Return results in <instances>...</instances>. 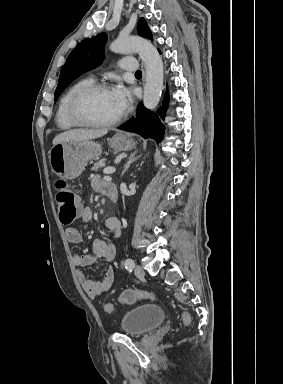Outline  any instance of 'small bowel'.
Segmentation results:
<instances>
[{
  "label": "small bowel",
  "instance_id": "c3829d8e",
  "mask_svg": "<svg viewBox=\"0 0 283 384\" xmlns=\"http://www.w3.org/2000/svg\"><path fill=\"white\" fill-rule=\"evenodd\" d=\"M107 182L98 176L91 180V187L100 193H104ZM93 213L90 207H82L80 209L81 227H68L65 230L66 238L69 243L78 244L82 241L81 229L83 225L92 220ZM105 228L112 232L115 238H118L122 232V225L118 218L110 217L105 221ZM117 254L116 246L102 238L94 240L91 250L84 254L76 253L73 255V263L75 266L83 268L92 265L98 259H103L107 262H112ZM79 282L83 290L91 298H96L103 292L112 287L114 280L113 269L109 267L102 280L95 281L88 278L82 271L77 272Z\"/></svg>",
  "mask_w": 283,
  "mask_h": 384
}]
</instances>
